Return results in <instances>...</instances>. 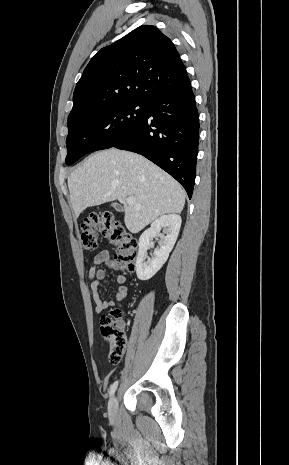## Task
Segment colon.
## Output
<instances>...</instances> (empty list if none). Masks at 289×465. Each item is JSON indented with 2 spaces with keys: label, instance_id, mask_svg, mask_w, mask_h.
I'll use <instances>...</instances> for the list:
<instances>
[{
  "label": "colon",
  "instance_id": "obj_1",
  "mask_svg": "<svg viewBox=\"0 0 289 465\" xmlns=\"http://www.w3.org/2000/svg\"><path fill=\"white\" fill-rule=\"evenodd\" d=\"M98 234H102L116 249L115 259L120 267L128 272L135 269L137 241L125 231L110 212L93 213L81 225L80 239L86 250H94L98 245ZM119 309L103 316L100 323V335L109 346V360L117 363L127 348V337L123 331Z\"/></svg>",
  "mask_w": 289,
  "mask_h": 465
}]
</instances>
